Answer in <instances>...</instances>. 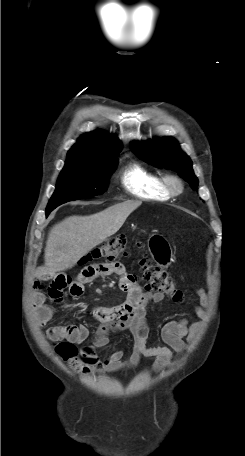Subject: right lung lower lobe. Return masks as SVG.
I'll return each instance as SVG.
<instances>
[{"label": "right lung lower lobe", "mask_w": 245, "mask_h": 456, "mask_svg": "<svg viewBox=\"0 0 245 456\" xmlns=\"http://www.w3.org/2000/svg\"><path fill=\"white\" fill-rule=\"evenodd\" d=\"M52 210L46 211V215L48 216Z\"/></svg>", "instance_id": "98d812e1"}]
</instances>
